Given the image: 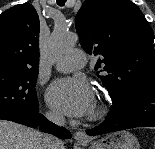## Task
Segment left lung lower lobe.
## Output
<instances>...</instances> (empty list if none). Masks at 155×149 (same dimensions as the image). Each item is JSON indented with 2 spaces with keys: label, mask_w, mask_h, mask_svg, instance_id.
<instances>
[{
  "label": "left lung lower lobe",
  "mask_w": 155,
  "mask_h": 149,
  "mask_svg": "<svg viewBox=\"0 0 155 149\" xmlns=\"http://www.w3.org/2000/svg\"><path fill=\"white\" fill-rule=\"evenodd\" d=\"M113 99L111 112L99 126L86 130L88 135L155 126V83L140 84Z\"/></svg>",
  "instance_id": "obj_1"
}]
</instances>
